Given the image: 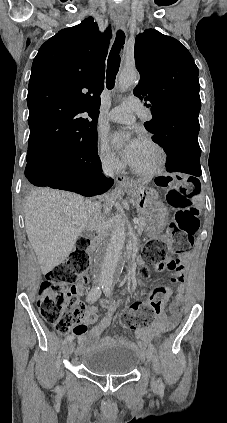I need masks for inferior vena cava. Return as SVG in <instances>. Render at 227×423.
Wrapping results in <instances>:
<instances>
[{
	"instance_id": "inferior-vena-cava-1",
	"label": "inferior vena cava",
	"mask_w": 227,
	"mask_h": 423,
	"mask_svg": "<svg viewBox=\"0 0 227 423\" xmlns=\"http://www.w3.org/2000/svg\"><path fill=\"white\" fill-rule=\"evenodd\" d=\"M116 156L115 154H108L107 158L102 160V170L106 176H113L114 174V166L116 164ZM87 213H88V225L96 229V231H102V225L98 223L100 215V204H93V202H87L86 204Z\"/></svg>"
}]
</instances>
